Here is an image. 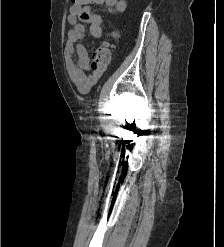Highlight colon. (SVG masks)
<instances>
[{
    "label": "colon",
    "instance_id": "1",
    "mask_svg": "<svg viewBox=\"0 0 224 247\" xmlns=\"http://www.w3.org/2000/svg\"><path fill=\"white\" fill-rule=\"evenodd\" d=\"M72 5L80 6L83 0H71ZM112 48L108 42L102 43L92 55L91 69L94 71L105 70L111 60Z\"/></svg>",
    "mask_w": 224,
    "mask_h": 247
}]
</instances>
